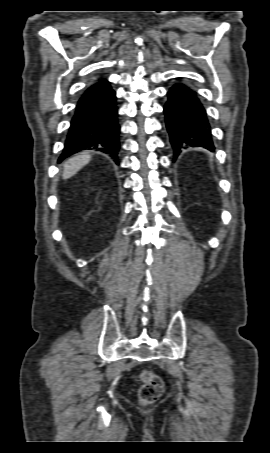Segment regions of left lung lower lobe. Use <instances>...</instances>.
<instances>
[{"mask_svg":"<svg viewBox=\"0 0 270 453\" xmlns=\"http://www.w3.org/2000/svg\"><path fill=\"white\" fill-rule=\"evenodd\" d=\"M168 96L164 112L174 157L187 147L214 151L210 123L197 93L187 85L177 83L170 88Z\"/></svg>","mask_w":270,"mask_h":453,"instance_id":"obj_1","label":"left lung lower lobe"}]
</instances>
